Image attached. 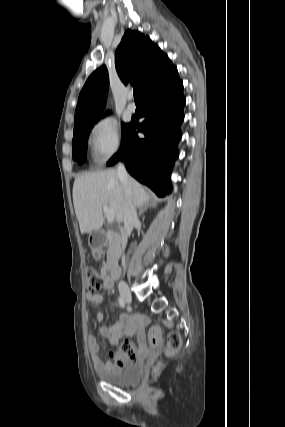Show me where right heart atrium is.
<instances>
[{"label":"right heart atrium","instance_id":"right-heart-atrium-1","mask_svg":"<svg viewBox=\"0 0 285 427\" xmlns=\"http://www.w3.org/2000/svg\"><path fill=\"white\" fill-rule=\"evenodd\" d=\"M119 124L112 118L96 121L90 130L89 145L96 161L105 163L121 148Z\"/></svg>","mask_w":285,"mask_h":427}]
</instances>
